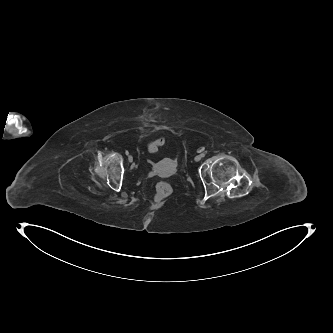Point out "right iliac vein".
<instances>
[{
    "mask_svg": "<svg viewBox=\"0 0 333 333\" xmlns=\"http://www.w3.org/2000/svg\"><path fill=\"white\" fill-rule=\"evenodd\" d=\"M128 160H129V162H133V156H132V155H129V156H128Z\"/></svg>",
    "mask_w": 333,
    "mask_h": 333,
    "instance_id": "obj_1",
    "label": "right iliac vein"
}]
</instances>
